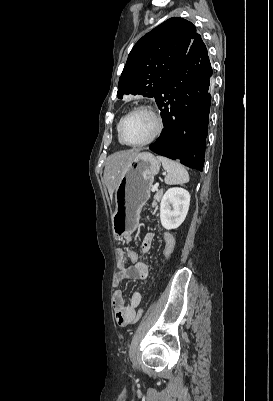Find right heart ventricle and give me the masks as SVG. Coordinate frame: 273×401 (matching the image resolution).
I'll return each instance as SVG.
<instances>
[{
    "instance_id": "e07e8e85",
    "label": "right heart ventricle",
    "mask_w": 273,
    "mask_h": 401,
    "mask_svg": "<svg viewBox=\"0 0 273 401\" xmlns=\"http://www.w3.org/2000/svg\"><path fill=\"white\" fill-rule=\"evenodd\" d=\"M120 119H121V117L118 119V121H117V123H116V131H117V125H118ZM119 142H120V140H119ZM120 143H121V142H120ZM121 144H122V143H121Z\"/></svg>"
}]
</instances>
